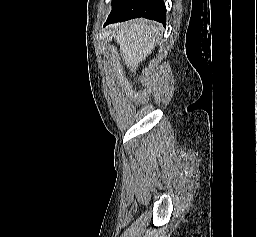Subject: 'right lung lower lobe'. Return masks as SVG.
Segmentation results:
<instances>
[{
  "mask_svg": "<svg viewBox=\"0 0 257 237\" xmlns=\"http://www.w3.org/2000/svg\"><path fill=\"white\" fill-rule=\"evenodd\" d=\"M144 17L166 24V7L163 0H116L105 23L122 22Z\"/></svg>",
  "mask_w": 257,
  "mask_h": 237,
  "instance_id": "1",
  "label": "right lung lower lobe"
}]
</instances>
